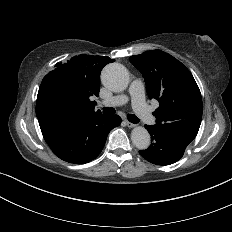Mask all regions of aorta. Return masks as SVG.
Listing matches in <instances>:
<instances>
[{
    "label": "aorta",
    "instance_id": "aorta-1",
    "mask_svg": "<svg viewBox=\"0 0 232 232\" xmlns=\"http://www.w3.org/2000/svg\"><path fill=\"white\" fill-rule=\"evenodd\" d=\"M103 85L113 92L124 91L129 84V75L124 66L118 63L108 64L101 73ZM131 139L134 145L141 150L147 149L150 145L151 138L148 131L137 126L132 130Z\"/></svg>",
    "mask_w": 232,
    "mask_h": 232
}]
</instances>
